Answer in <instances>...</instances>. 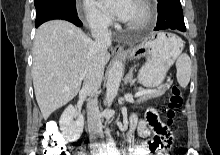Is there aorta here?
Here are the masks:
<instances>
[{
	"label": "aorta",
	"instance_id": "762f6f07",
	"mask_svg": "<svg viewBox=\"0 0 220 155\" xmlns=\"http://www.w3.org/2000/svg\"><path fill=\"white\" fill-rule=\"evenodd\" d=\"M123 63L121 61H116L108 74L107 83H106V105L110 107L113 99L118 93L120 82L123 76Z\"/></svg>",
	"mask_w": 220,
	"mask_h": 155
}]
</instances>
